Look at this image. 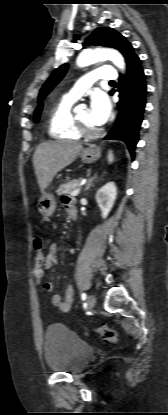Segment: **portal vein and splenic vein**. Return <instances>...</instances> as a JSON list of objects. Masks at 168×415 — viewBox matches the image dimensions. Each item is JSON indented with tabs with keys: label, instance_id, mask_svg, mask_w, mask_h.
Listing matches in <instances>:
<instances>
[{
	"label": "portal vein and splenic vein",
	"instance_id": "obj_1",
	"mask_svg": "<svg viewBox=\"0 0 168 415\" xmlns=\"http://www.w3.org/2000/svg\"><path fill=\"white\" fill-rule=\"evenodd\" d=\"M80 190H81V185L72 192L71 196H77L80 193Z\"/></svg>",
	"mask_w": 168,
	"mask_h": 415
}]
</instances>
